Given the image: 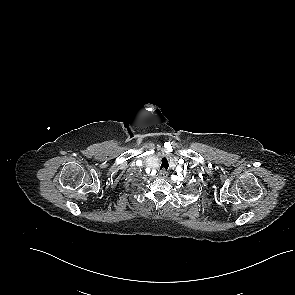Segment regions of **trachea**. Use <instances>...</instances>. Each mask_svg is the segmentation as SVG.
I'll list each match as a JSON object with an SVG mask.
<instances>
[{
  "label": "trachea",
  "mask_w": 295,
  "mask_h": 295,
  "mask_svg": "<svg viewBox=\"0 0 295 295\" xmlns=\"http://www.w3.org/2000/svg\"><path fill=\"white\" fill-rule=\"evenodd\" d=\"M161 161H162V163H161V168L160 169L167 170L168 166H169L167 159L164 157V158H162Z\"/></svg>",
  "instance_id": "1"
}]
</instances>
